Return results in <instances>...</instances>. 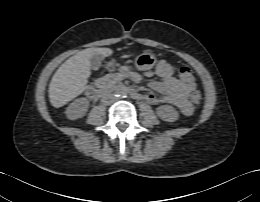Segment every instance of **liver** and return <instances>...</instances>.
Here are the masks:
<instances>
[{
	"instance_id": "obj_1",
	"label": "liver",
	"mask_w": 260,
	"mask_h": 202,
	"mask_svg": "<svg viewBox=\"0 0 260 202\" xmlns=\"http://www.w3.org/2000/svg\"><path fill=\"white\" fill-rule=\"evenodd\" d=\"M112 53L109 48H87L67 59L55 72L49 84V100L52 106L62 107L86 89L91 75L90 60L94 55L107 57Z\"/></svg>"
}]
</instances>
